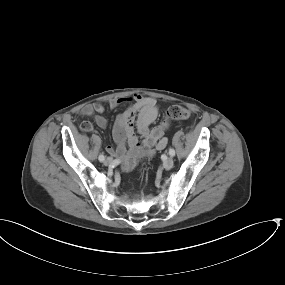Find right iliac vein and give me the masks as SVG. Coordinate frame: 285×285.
<instances>
[{
  "label": "right iliac vein",
  "mask_w": 285,
  "mask_h": 285,
  "mask_svg": "<svg viewBox=\"0 0 285 285\" xmlns=\"http://www.w3.org/2000/svg\"><path fill=\"white\" fill-rule=\"evenodd\" d=\"M105 165H112L113 164V159L111 157H107L104 161Z\"/></svg>",
  "instance_id": "obj_1"
}]
</instances>
